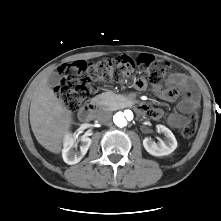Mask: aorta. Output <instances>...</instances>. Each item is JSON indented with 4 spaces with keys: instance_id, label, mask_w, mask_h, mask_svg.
I'll use <instances>...</instances> for the list:
<instances>
[{
    "instance_id": "762f6f07",
    "label": "aorta",
    "mask_w": 221,
    "mask_h": 221,
    "mask_svg": "<svg viewBox=\"0 0 221 221\" xmlns=\"http://www.w3.org/2000/svg\"><path fill=\"white\" fill-rule=\"evenodd\" d=\"M133 118V112L130 109H127L123 112L116 113L113 117V121L118 127L122 128L126 126L128 122L132 121Z\"/></svg>"
}]
</instances>
